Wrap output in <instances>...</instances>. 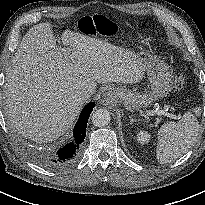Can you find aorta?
Returning <instances> with one entry per match:
<instances>
[{"label":"aorta","instance_id":"1","mask_svg":"<svg viewBox=\"0 0 205 205\" xmlns=\"http://www.w3.org/2000/svg\"><path fill=\"white\" fill-rule=\"evenodd\" d=\"M110 113L105 109H98L92 115V122L97 127H104L110 122Z\"/></svg>","mask_w":205,"mask_h":205}]
</instances>
